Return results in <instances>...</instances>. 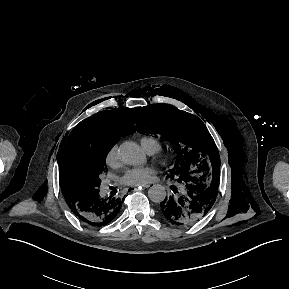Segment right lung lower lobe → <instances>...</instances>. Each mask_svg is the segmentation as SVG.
<instances>
[{"instance_id":"obj_1","label":"right lung lower lobe","mask_w":289,"mask_h":289,"mask_svg":"<svg viewBox=\"0 0 289 289\" xmlns=\"http://www.w3.org/2000/svg\"><path fill=\"white\" fill-rule=\"evenodd\" d=\"M122 202L123 199L118 197L103 198L97 190L68 205L84 223L91 226H104L115 218L121 209Z\"/></svg>"}]
</instances>
